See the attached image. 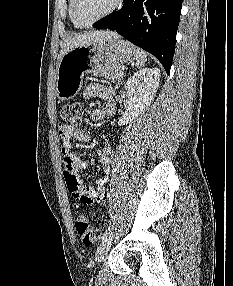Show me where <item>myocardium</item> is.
<instances>
[{"instance_id": "obj_1", "label": "myocardium", "mask_w": 233, "mask_h": 286, "mask_svg": "<svg viewBox=\"0 0 233 286\" xmlns=\"http://www.w3.org/2000/svg\"><path fill=\"white\" fill-rule=\"evenodd\" d=\"M78 2L79 0H73V6H72V14L74 19L76 20V22L78 24H80L83 27H88L91 26L97 22H99L100 20H103L104 18L110 16L111 14H113L115 11H117L123 4L124 0H116L114 5L105 13H103L102 15L98 16L97 18L91 20V21H82L78 15Z\"/></svg>"}]
</instances>
